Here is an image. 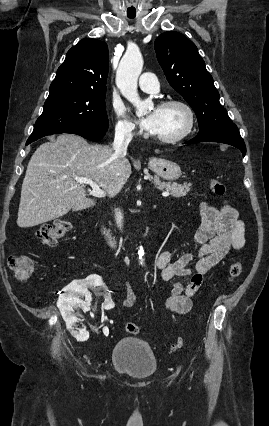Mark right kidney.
<instances>
[{
  "mask_svg": "<svg viewBox=\"0 0 269 426\" xmlns=\"http://www.w3.org/2000/svg\"><path fill=\"white\" fill-rule=\"evenodd\" d=\"M96 286H100L97 290L99 294L103 295L106 293L107 290L101 278L96 275L89 276L84 280L69 281L67 286H62L60 288L62 296L59 298L57 306L66 322L67 329H73L77 321L74 308L80 307L84 310L89 308L92 298L88 288ZM81 297H85V301L81 300ZM103 303V309L105 311H112L114 309V303L110 296H107ZM88 337L89 334L85 329L81 330L80 335L77 336L80 340H86Z\"/></svg>",
  "mask_w": 269,
  "mask_h": 426,
  "instance_id": "obj_1",
  "label": "right kidney"
}]
</instances>
